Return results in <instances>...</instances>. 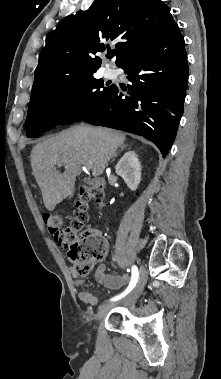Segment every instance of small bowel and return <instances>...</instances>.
Returning <instances> with one entry per match:
<instances>
[{"mask_svg":"<svg viewBox=\"0 0 221 379\" xmlns=\"http://www.w3.org/2000/svg\"><path fill=\"white\" fill-rule=\"evenodd\" d=\"M106 265L104 263L100 264L98 269L95 272V269H92V272H95L96 280L101 283L103 286L109 289H119L128 282V275H111L105 273ZM72 276L77 285L82 284V280L79 279L77 273L72 271ZM79 298L82 302L87 305L95 306L98 303V298L91 293L90 291H81L79 293Z\"/></svg>","mask_w":221,"mask_h":379,"instance_id":"c3829d8e","label":"small bowel"}]
</instances>
